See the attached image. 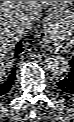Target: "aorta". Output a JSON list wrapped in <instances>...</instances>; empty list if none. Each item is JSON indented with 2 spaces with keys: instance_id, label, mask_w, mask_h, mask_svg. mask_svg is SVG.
<instances>
[{
  "instance_id": "762f6f07",
  "label": "aorta",
  "mask_w": 74,
  "mask_h": 122,
  "mask_svg": "<svg viewBox=\"0 0 74 122\" xmlns=\"http://www.w3.org/2000/svg\"><path fill=\"white\" fill-rule=\"evenodd\" d=\"M46 67L50 73L57 76L68 74L70 64L65 57L59 55H51L46 59Z\"/></svg>"
}]
</instances>
